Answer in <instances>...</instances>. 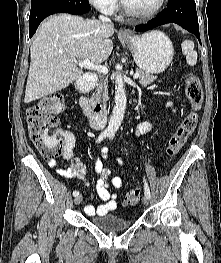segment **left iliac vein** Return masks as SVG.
Listing matches in <instances>:
<instances>
[{
	"instance_id": "1",
	"label": "left iliac vein",
	"mask_w": 221,
	"mask_h": 263,
	"mask_svg": "<svg viewBox=\"0 0 221 263\" xmlns=\"http://www.w3.org/2000/svg\"><path fill=\"white\" fill-rule=\"evenodd\" d=\"M143 203L145 205H148L149 204V198L147 196H144L143 199H142Z\"/></svg>"
}]
</instances>
